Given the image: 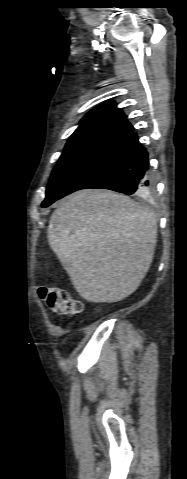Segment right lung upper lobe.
<instances>
[{
    "mask_svg": "<svg viewBox=\"0 0 187 479\" xmlns=\"http://www.w3.org/2000/svg\"><path fill=\"white\" fill-rule=\"evenodd\" d=\"M87 127H106L114 130L130 133L132 125L127 121L125 114L116 107L113 101L106 102L91 110L81 120L77 129Z\"/></svg>",
    "mask_w": 187,
    "mask_h": 479,
    "instance_id": "right-lung-upper-lobe-1",
    "label": "right lung upper lobe"
}]
</instances>
